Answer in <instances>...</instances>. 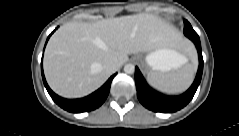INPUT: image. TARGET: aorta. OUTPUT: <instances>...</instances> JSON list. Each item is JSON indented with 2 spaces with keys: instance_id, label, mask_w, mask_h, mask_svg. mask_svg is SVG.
<instances>
[{
  "instance_id": "1",
  "label": "aorta",
  "mask_w": 239,
  "mask_h": 136,
  "mask_svg": "<svg viewBox=\"0 0 239 136\" xmlns=\"http://www.w3.org/2000/svg\"><path fill=\"white\" fill-rule=\"evenodd\" d=\"M124 72L126 74H133L135 72V66L133 64H126L124 66Z\"/></svg>"
}]
</instances>
